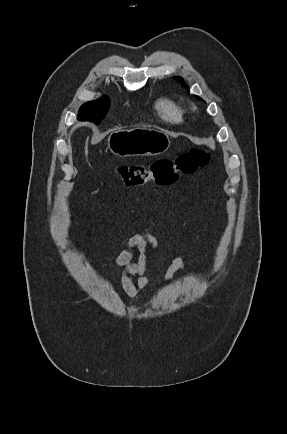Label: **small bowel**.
I'll use <instances>...</instances> for the list:
<instances>
[{
  "label": "small bowel",
  "instance_id": "1",
  "mask_svg": "<svg viewBox=\"0 0 287 434\" xmlns=\"http://www.w3.org/2000/svg\"><path fill=\"white\" fill-rule=\"evenodd\" d=\"M168 249L159 245L151 236L148 226L143 225L141 231L130 236L127 249L114 260L117 267L122 268V287L125 294L135 298L143 289L150 287L153 282L145 276L147 264L152 253H164ZM139 252L137 261L133 255ZM173 260L165 273L164 279L170 281L185 265L183 257L178 250L171 251Z\"/></svg>",
  "mask_w": 287,
  "mask_h": 434
}]
</instances>
